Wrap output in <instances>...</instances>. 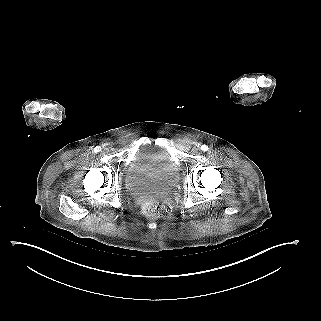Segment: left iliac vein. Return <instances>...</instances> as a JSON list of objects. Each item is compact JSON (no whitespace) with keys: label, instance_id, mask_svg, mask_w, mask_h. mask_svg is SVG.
Listing matches in <instances>:
<instances>
[{"label":"left iliac vein","instance_id":"1","mask_svg":"<svg viewBox=\"0 0 321 321\" xmlns=\"http://www.w3.org/2000/svg\"><path fill=\"white\" fill-rule=\"evenodd\" d=\"M199 152V148L198 147H195L194 148V153H198Z\"/></svg>","mask_w":321,"mask_h":321}]
</instances>
